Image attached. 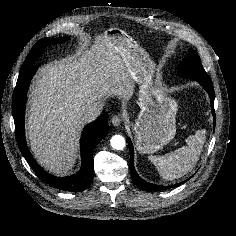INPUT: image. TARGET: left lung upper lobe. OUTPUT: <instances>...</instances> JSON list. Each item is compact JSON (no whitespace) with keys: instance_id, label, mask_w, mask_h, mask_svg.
I'll use <instances>...</instances> for the list:
<instances>
[{"instance_id":"5c2ea615","label":"left lung upper lobe","mask_w":236,"mask_h":236,"mask_svg":"<svg viewBox=\"0 0 236 236\" xmlns=\"http://www.w3.org/2000/svg\"><path fill=\"white\" fill-rule=\"evenodd\" d=\"M178 72L184 77L190 79H206L209 78L204 70L201 60L196 51L190 49L188 56L179 66Z\"/></svg>"}]
</instances>
